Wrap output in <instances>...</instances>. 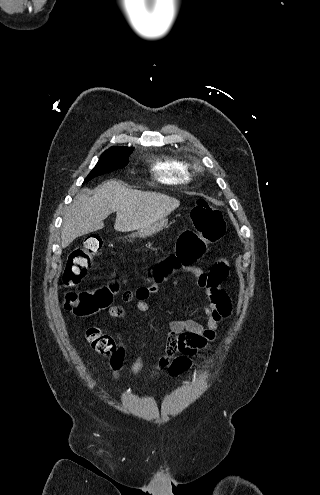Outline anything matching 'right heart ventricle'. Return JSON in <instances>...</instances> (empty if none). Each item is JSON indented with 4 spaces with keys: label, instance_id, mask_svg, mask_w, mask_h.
<instances>
[{
    "label": "right heart ventricle",
    "instance_id": "1",
    "mask_svg": "<svg viewBox=\"0 0 320 495\" xmlns=\"http://www.w3.org/2000/svg\"><path fill=\"white\" fill-rule=\"evenodd\" d=\"M158 180L168 184L185 183L191 180L189 164L173 155H163L153 163Z\"/></svg>",
    "mask_w": 320,
    "mask_h": 495
}]
</instances>
